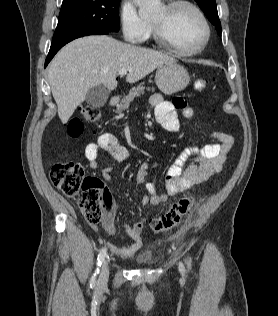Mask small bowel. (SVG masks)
<instances>
[{"label": "small bowel", "mask_w": 278, "mask_h": 316, "mask_svg": "<svg viewBox=\"0 0 278 316\" xmlns=\"http://www.w3.org/2000/svg\"><path fill=\"white\" fill-rule=\"evenodd\" d=\"M154 107L155 118L157 122L169 132H177L180 128L178 112L186 119L194 115L192 107L188 106L182 98H175L173 101H165L160 94H155L150 99ZM212 143L202 147H190L180 152L172 164L169 166L165 177V193H158L152 182H146L151 165L144 162L139 167L137 173V183L145 187L146 194L141 199V204L157 207L166 202L169 196H173L188 190L189 188L207 182L214 175L218 174L226 161L227 153L234 144V137L228 133L214 131L209 135ZM100 150L106 151L116 162H124L130 158V151L127 147L121 145L116 137L111 133H103L94 142L85 146L84 155L88 161L89 167L98 168V153ZM189 157H194L192 163L183 167ZM112 166H107L102 170V178L106 182L112 180ZM116 204L112 195L104 191L102 227L108 234L115 231ZM144 226V220L134 223H125L127 235L132 243L127 247L108 243L109 249L120 256H130L143 246L141 232Z\"/></svg>", "instance_id": "c3829d8e"}]
</instances>
